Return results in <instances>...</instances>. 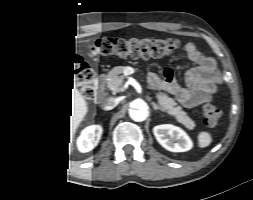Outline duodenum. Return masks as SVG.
<instances>
[{
    "mask_svg": "<svg viewBox=\"0 0 253 200\" xmlns=\"http://www.w3.org/2000/svg\"><path fill=\"white\" fill-rule=\"evenodd\" d=\"M101 82H102V77H98L95 81V95L96 96H99L101 94V91H100Z\"/></svg>",
    "mask_w": 253,
    "mask_h": 200,
    "instance_id": "410a0bca",
    "label": "duodenum"
}]
</instances>
